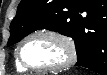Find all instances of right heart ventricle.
<instances>
[{"mask_svg":"<svg viewBox=\"0 0 107 75\" xmlns=\"http://www.w3.org/2000/svg\"><path fill=\"white\" fill-rule=\"evenodd\" d=\"M16 66H17V69H18L19 71H25V70H26V68L23 67V66L20 64V62L18 61V59L16 60Z\"/></svg>","mask_w":107,"mask_h":75,"instance_id":"obj_1","label":"right heart ventricle"}]
</instances>
